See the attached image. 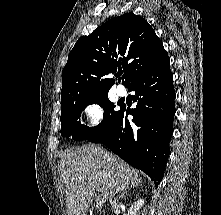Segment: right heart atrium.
I'll list each match as a JSON object with an SVG mask.
<instances>
[{
    "label": "right heart atrium",
    "mask_w": 221,
    "mask_h": 215,
    "mask_svg": "<svg viewBox=\"0 0 221 215\" xmlns=\"http://www.w3.org/2000/svg\"><path fill=\"white\" fill-rule=\"evenodd\" d=\"M86 126L95 128L99 126L104 118V108L99 102H90L82 109Z\"/></svg>",
    "instance_id": "d8ad5b80"
}]
</instances>
